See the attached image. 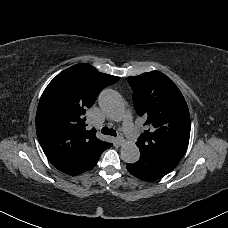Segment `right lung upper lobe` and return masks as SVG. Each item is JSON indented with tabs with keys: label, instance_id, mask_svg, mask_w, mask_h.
<instances>
[{
	"label": "right lung upper lobe",
	"instance_id": "1",
	"mask_svg": "<svg viewBox=\"0 0 228 228\" xmlns=\"http://www.w3.org/2000/svg\"><path fill=\"white\" fill-rule=\"evenodd\" d=\"M120 78L85 63L59 73L44 90L36 114V132L50 162L62 169L86 153L107 146L95 129H86V109L100 91Z\"/></svg>",
	"mask_w": 228,
	"mask_h": 228
}]
</instances>
